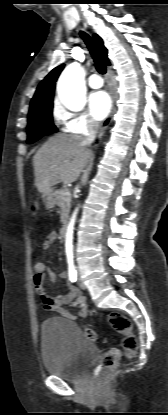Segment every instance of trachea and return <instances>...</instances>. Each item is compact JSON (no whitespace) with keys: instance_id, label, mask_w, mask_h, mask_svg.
Masks as SVG:
<instances>
[{"instance_id":"trachea-1","label":"trachea","mask_w":168,"mask_h":415,"mask_svg":"<svg viewBox=\"0 0 168 415\" xmlns=\"http://www.w3.org/2000/svg\"><path fill=\"white\" fill-rule=\"evenodd\" d=\"M80 35H81L82 39L84 40L85 44L87 45V47H88V49H89V51H90V53L93 57L95 67H96L97 71L102 75L105 74L106 73L105 62H104L102 56L100 55L99 51L97 50L95 44L93 43L91 37L83 31L80 32Z\"/></svg>"}]
</instances>
